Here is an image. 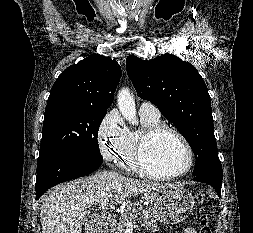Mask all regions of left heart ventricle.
Returning <instances> with one entry per match:
<instances>
[{"label": "left heart ventricle", "instance_id": "left-heart-ventricle-1", "mask_svg": "<svg viewBox=\"0 0 253 233\" xmlns=\"http://www.w3.org/2000/svg\"><path fill=\"white\" fill-rule=\"evenodd\" d=\"M145 160L147 166L156 173H178L186 168L188 154L175 136L162 133L149 144Z\"/></svg>", "mask_w": 253, "mask_h": 233}]
</instances>
